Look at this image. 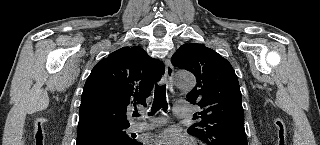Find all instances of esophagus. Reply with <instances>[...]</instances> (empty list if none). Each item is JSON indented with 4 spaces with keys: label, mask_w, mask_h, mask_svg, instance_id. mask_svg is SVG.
<instances>
[{
    "label": "esophagus",
    "mask_w": 320,
    "mask_h": 145,
    "mask_svg": "<svg viewBox=\"0 0 320 145\" xmlns=\"http://www.w3.org/2000/svg\"><path fill=\"white\" fill-rule=\"evenodd\" d=\"M173 75H174V69L171 62L169 60H165V79L171 91L173 90V83H172Z\"/></svg>",
    "instance_id": "esophagus-1"
}]
</instances>
